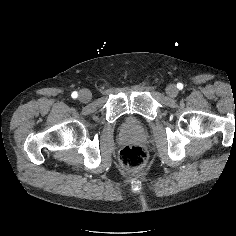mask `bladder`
<instances>
[{"instance_id": "bladder-1", "label": "bladder", "mask_w": 236, "mask_h": 236, "mask_svg": "<svg viewBox=\"0 0 236 236\" xmlns=\"http://www.w3.org/2000/svg\"><path fill=\"white\" fill-rule=\"evenodd\" d=\"M129 126H130V127H133V125H132V124H130Z\"/></svg>"}]
</instances>
